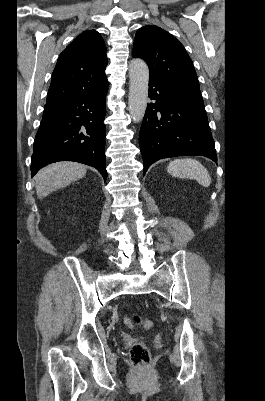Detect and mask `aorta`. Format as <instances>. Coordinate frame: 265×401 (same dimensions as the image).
<instances>
[{"instance_id": "762f6f07", "label": "aorta", "mask_w": 265, "mask_h": 401, "mask_svg": "<svg viewBox=\"0 0 265 401\" xmlns=\"http://www.w3.org/2000/svg\"><path fill=\"white\" fill-rule=\"evenodd\" d=\"M129 112L134 122L142 120L148 98L149 68L142 58L129 62Z\"/></svg>"}]
</instances>
